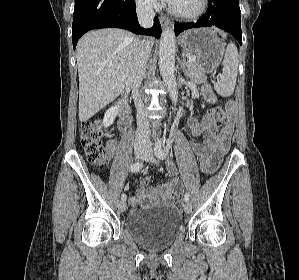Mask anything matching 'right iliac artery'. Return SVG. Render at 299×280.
Returning a JSON list of instances; mask_svg holds the SVG:
<instances>
[{"label":"right iliac artery","instance_id":"right-iliac-artery-1","mask_svg":"<svg viewBox=\"0 0 299 280\" xmlns=\"http://www.w3.org/2000/svg\"><path fill=\"white\" fill-rule=\"evenodd\" d=\"M142 166H143L142 162H136L133 165H131L130 170H131V172H138V171H140V169L142 168ZM126 198H127L126 194L123 193L121 195V199L122 200H126Z\"/></svg>","mask_w":299,"mask_h":280}]
</instances>
